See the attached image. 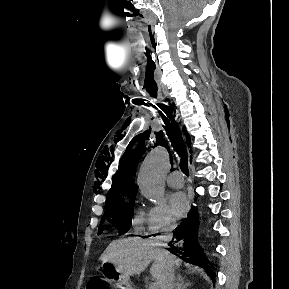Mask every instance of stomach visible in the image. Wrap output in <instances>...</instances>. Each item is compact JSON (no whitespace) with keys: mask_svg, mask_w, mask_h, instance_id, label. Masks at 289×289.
<instances>
[{"mask_svg":"<svg viewBox=\"0 0 289 289\" xmlns=\"http://www.w3.org/2000/svg\"><path fill=\"white\" fill-rule=\"evenodd\" d=\"M101 269L108 280H112V284L118 289H133L129 277L118 272L116 267L108 261L101 263Z\"/></svg>","mask_w":289,"mask_h":289,"instance_id":"stomach-1","label":"stomach"}]
</instances>
